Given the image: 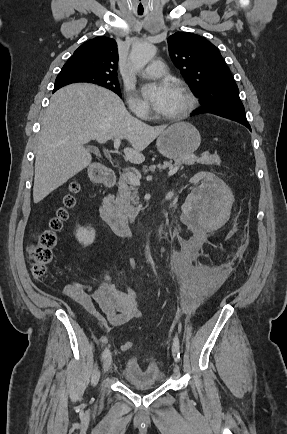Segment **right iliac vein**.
Returning <instances> with one entry per match:
<instances>
[{
  "mask_svg": "<svg viewBox=\"0 0 287 434\" xmlns=\"http://www.w3.org/2000/svg\"><path fill=\"white\" fill-rule=\"evenodd\" d=\"M111 364H112V355L109 353V355L103 361V373H106L110 370Z\"/></svg>",
  "mask_w": 287,
  "mask_h": 434,
  "instance_id": "1",
  "label": "right iliac vein"
}]
</instances>
